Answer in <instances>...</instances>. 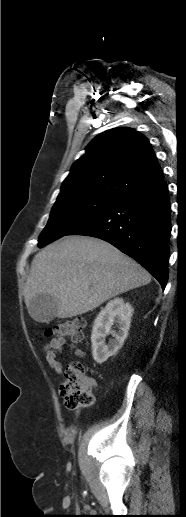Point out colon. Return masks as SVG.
I'll return each mask as SVG.
<instances>
[{"instance_id":"obj_1","label":"colon","mask_w":186,"mask_h":517,"mask_svg":"<svg viewBox=\"0 0 186 517\" xmlns=\"http://www.w3.org/2000/svg\"><path fill=\"white\" fill-rule=\"evenodd\" d=\"M85 322L81 319L65 321L54 325L46 331L48 336L70 338L73 341L84 339ZM60 394L67 408L75 409L90 406L94 402V382L85 374V367L80 362L69 364L60 383Z\"/></svg>"}]
</instances>
